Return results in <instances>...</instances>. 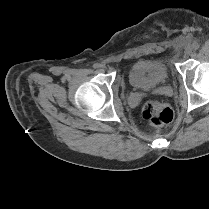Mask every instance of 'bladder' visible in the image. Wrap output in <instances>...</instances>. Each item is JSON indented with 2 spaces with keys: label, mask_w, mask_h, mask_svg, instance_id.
Here are the masks:
<instances>
[{
  "label": "bladder",
  "mask_w": 209,
  "mask_h": 209,
  "mask_svg": "<svg viewBox=\"0 0 209 209\" xmlns=\"http://www.w3.org/2000/svg\"><path fill=\"white\" fill-rule=\"evenodd\" d=\"M166 64L157 58L140 59L128 71V80L132 87L142 91H153L168 79Z\"/></svg>",
  "instance_id": "31cf9c89"
}]
</instances>
